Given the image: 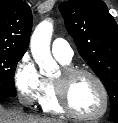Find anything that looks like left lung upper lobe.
I'll use <instances>...</instances> for the list:
<instances>
[{"instance_id": "5c2ea615", "label": "left lung upper lobe", "mask_w": 118, "mask_h": 123, "mask_svg": "<svg viewBox=\"0 0 118 123\" xmlns=\"http://www.w3.org/2000/svg\"><path fill=\"white\" fill-rule=\"evenodd\" d=\"M79 54L110 96V117L118 120V28L101 0H68L59 5Z\"/></svg>"}]
</instances>
